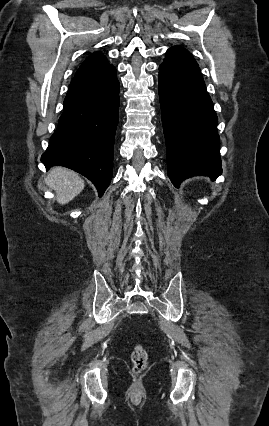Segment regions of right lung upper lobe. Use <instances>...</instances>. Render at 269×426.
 Returning <instances> with one entry per match:
<instances>
[{
    "label": "right lung upper lobe",
    "instance_id": "1",
    "mask_svg": "<svg viewBox=\"0 0 269 426\" xmlns=\"http://www.w3.org/2000/svg\"><path fill=\"white\" fill-rule=\"evenodd\" d=\"M110 64L106 57L101 53H93L81 64L75 76L94 73L100 71Z\"/></svg>",
    "mask_w": 269,
    "mask_h": 426
}]
</instances>
